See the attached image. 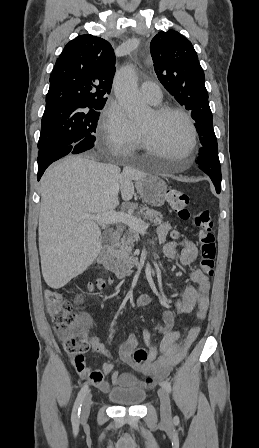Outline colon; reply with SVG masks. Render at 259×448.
Returning <instances> with one entry per match:
<instances>
[{"mask_svg":"<svg viewBox=\"0 0 259 448\" xmlns=\"http://www.w3.org/2000/svg\"><path fill=\"white\" fill-rule=\"evenodd\" d=\"M166 199L174 212L183 220H191L199 231L201 261L200 269L206 275L214 272L216 255L213 221L208 211L193 213L190 208L189 196L183 191L171 188L166 192ZM105 281H100L98 287L104 288ZM45 305L51 318L53 328L62 339L64 349L73 355L80 356L89 349L87 327L90 318L87 314H78L65 295L57 290L45 292ZM132 360L141 364L147 361L148 353L142 348H135L131 353Z\"/></svg>","mask_w":259,"mask_h":448,"instance_id":"1","label":"colon"}]
</instances>
